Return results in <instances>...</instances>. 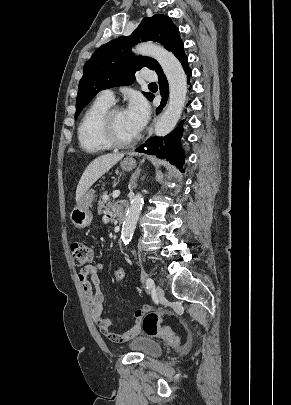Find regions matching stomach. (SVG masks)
Returning a JSON list of instances; mask_svg holds the SVG:
<instances>
[{"instance_id":"1","label":"stomach","mask_w":291,"mask_h":405,"mask_svg":"<svg viewBox=\"0 0 291 405\" xmlns=\"http://www.w3.org/2000/svg\"><path fill=\"white\" fill-rule=\"evenodd\" d=\"M120 166L125 171H131L136 167V161L133 158H125L121 161ZM93 200L94 190H90L81 197L72 210L70 218L77 228H84L91 224L93 214L90 208L92 207Z\"/></svg>"}]
</instances>
